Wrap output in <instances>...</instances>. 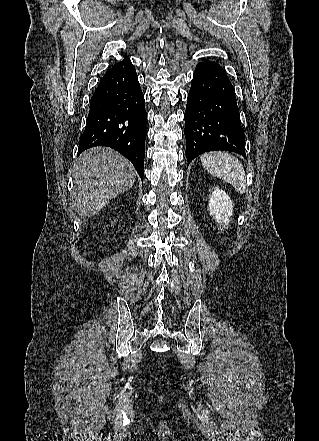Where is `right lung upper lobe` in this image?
Masks as SVG:
<instances>
[{"mask_svg":"<svg viewBox=\"0 0 319 441\" xmlns=\"http://www.w3.org/2000/svg\"><path fill=\"white\" fill-rule=\"evenodd\" d=\"M128 59H129L128 57H124V59H123L122 62H124V61H126V60H128ZM122 62H118V63H116L115 65H113V67L117 66L118 64H120V63H122Z\"/></svg>","mask_w":319,"mask_h":441,"instance_id":"right-lung-upper-lobe-1","label":"right lung upper lobe"}]
</instances>
